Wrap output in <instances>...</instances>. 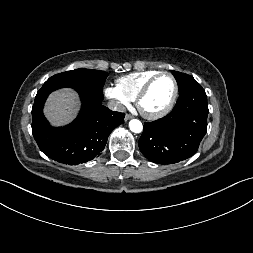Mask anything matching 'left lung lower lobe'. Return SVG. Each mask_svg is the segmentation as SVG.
Segmentation results:
<instances>
[{
	"mask_svg": "<svg viewBox=\"0 0 253 253\" xmlns=\"http://www.w3.org/2000/svg\"><path fill=\"white\" fill-rule=\"evenodd\" d=\"M207 95L198 82L179 92L174 109L144 124L141 153L158 164H174L193 156L207 131Z\"/></svg>",
	"mask_w": 253,
	"mask_h": 253,
	"instance_id": "0a47b994",
	"label": "left lung lower lobe"
}]
</instances>
